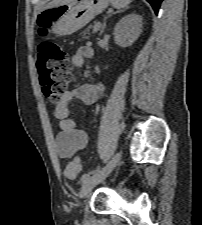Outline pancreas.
I'll return each mask as SVG.
<instances>
[{
	"label": "pancreas",
	"instance_id": "obj_1",
	"mask_svg": "<svg viewBox=\"0 0 202 225\" xmlns=\"http://www.w3.org/2000/svg\"><path fill=\"white\" fill-rule=\"evenodd\" d=\"M92 28H94V26H89L85 31H84V33H88L89 31H90V29H92Z\"/></svg>",
	"mask_w": 202,
	"mask_h": 225
}]
</instances>
